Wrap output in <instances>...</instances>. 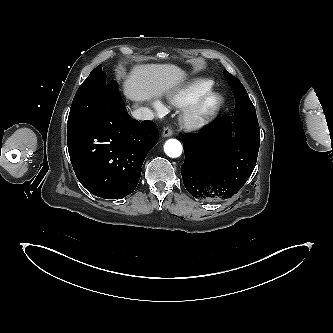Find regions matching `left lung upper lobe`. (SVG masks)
I'll return each mask as SVG.
<instances>
[{"mask_svg": "<svg viewBox=\"0 0 333 333\" xmlns=\"http://www.w3.org/2000/svg\"><path fill=\"white\" fill-rule=\"evenodd\" d=\"M223 73H224L228 83L232 87L235 98H237V99L243 98L250 103L251 101L248 97V94H247L245 88L241 84V82L236 77L232 76L228 71L224 70Z\"/></svg>", "mask_w": 333, "mask_h": 333, "instance_id": "left-lung-upper-lobe-1", "label": "left lung upper lobe"}]
</instances>
